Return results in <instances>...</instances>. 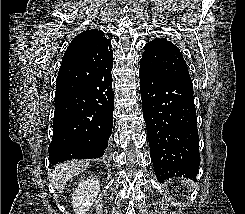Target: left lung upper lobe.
I'll use <instances>...</instances> for the list:
<instances>
[{
  "label": "left lung upper lobe",
  "instance_id": "5c2ea615",
  "mask_svg": "<svg viewBox=\"0 0 245 214\" xmlns=\"http://www.w3.org/2000/svg\"><path fill=\"white\" fill-rule=\"evenodd\" d=\"M140 67L157 74L191 80L180 49L166 38H156L144 47Z\"/></svg>",
  "mask_w": 245,
  "mask_h": 214
}]
</instances>
